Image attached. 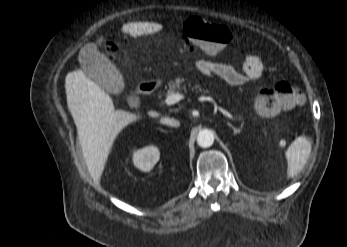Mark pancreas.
Masks as SVG:
<instances>
[{
    "mask_svg": "<svg viewBox=\"0 0 347 247\" xmlns=\"http://www.w3.org/2000/svg\"><path fill=\"white\" fill-rule=\"evenodd\" d=\"M185 79L183 78H176L175 80H169L166 85L167 89V96L180 92L181 90H184V92H187V85L184 84ZM188 87H191V84L188 83ZM192 90H196L197 92H203V93H209L207 90H202L198 85H195L194 87L191 88ZM239 120L243 121V117L239 116Z\"/></svg>",
    "mask_w": 347,
    "mask_h": 247,
    "instance_id": "pancreas-1",
    "label": "pancreas"
}]
</instances>
